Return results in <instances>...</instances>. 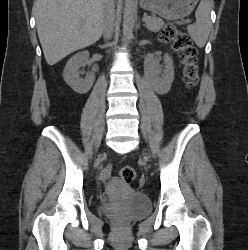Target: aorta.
<instances>
[{"label": "aorta", "mask_w": 248, "mask_h": 250, "mask_svg": "<svg viewBox=\"0 0 248 250\" xmlns=\"http://www.w3.org/2000/svg\"><path fill=\"white\" fill-rule=\"evenodd\" d=\"M135 23V0H126L123 14V41L129 43Z\"/></svg>", "instance_id": "aorta-1"}]
</instances>
